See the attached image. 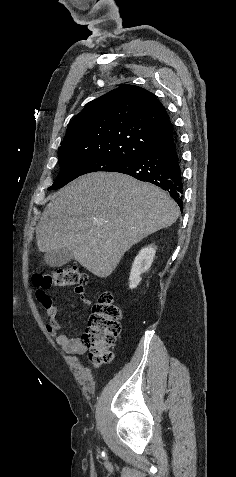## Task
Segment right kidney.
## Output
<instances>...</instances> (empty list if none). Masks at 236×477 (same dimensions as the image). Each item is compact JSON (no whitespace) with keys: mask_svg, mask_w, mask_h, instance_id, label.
I'll list each match as a JSON object with an SVG mask.
<instances>
[{"mask_svg":"<svg viewBox=\"0 0 236 477\" xmlns=\"http://www.w3.org/2000/svg\"><path fill=\"white\" fill-rule=\"evenodd\" d=\"M155 252L156 250L154 246H147L141 249V251L138 253L133 262L132 269L130 272V289H134L139 285L142 279L141 274L146 272L150 268L155 257Z\"/></svg>","mask_w":236,"mask_h":477,"instance_id":"obj_1","label":"right kidney"}]
</instances>
